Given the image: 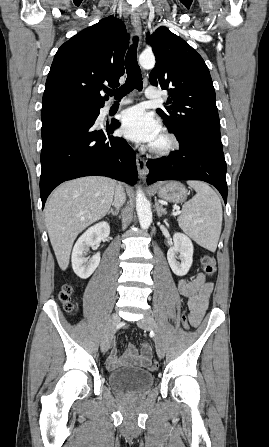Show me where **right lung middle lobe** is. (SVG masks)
<instances>
[{
	"instance_id": "1",
	"label": "right lung middle lobe",
	"mask_w": 269,
	"mask_h": 447,
	"mask_svg": "<svg viewBox=\"0 0 269 447\" xmlns=\"http://www.w3.org/2000/svg\"><path fill=\"white\" fill-rule=\"evenodd\" d=\"M81 109V112L89 111V110H99L101 107H103L102 104H82L79 106Z\"/></svg>"
}]
</instances>
